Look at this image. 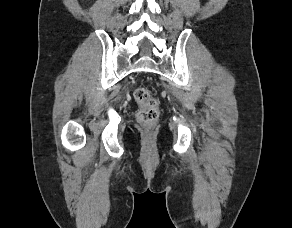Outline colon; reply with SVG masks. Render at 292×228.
Returning <instances> with one entry per match:
<instances>
[{
  "mask_svg": "<svg viewBox=\"0 0 292 228\" xmlns=\"http://www.w3.org/2000/svg\"><path fill=\"white\" fill-rule=\"evenodd\" d=\"M134 98L139 105L138 121L146 127L156 124L159 117L158 102L150 90L140 87L134 91Z\"/></svg>",
  "mask_w": 292,
  "mask_h": 228,
  "instance_id": "obj_1",
  "label": "colon"
}]
</instances>
